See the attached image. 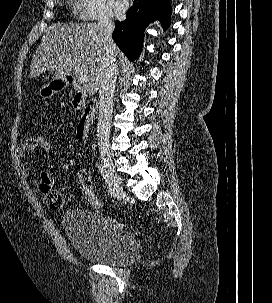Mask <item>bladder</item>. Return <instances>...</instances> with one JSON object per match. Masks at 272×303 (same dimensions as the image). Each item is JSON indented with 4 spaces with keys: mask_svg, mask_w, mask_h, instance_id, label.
<instances>
[{
    "mask_svg": "<svg viewBox=\"0 0 272 303\" xmlns=\"http://www.w3.org/2000/svg\"><path fill=\"white\" fill-rule=\"evenodd\" d=\"M62 226L75 252L87 261L125 265L140 253L138 242L130 232L96 212L70 209L63 217Z\"/></svg>",
    "mask_w": 272,
    "mask_h": 303,
    "instance_id": "obj_1",
    "label": "bladder"
}]
</instances>
